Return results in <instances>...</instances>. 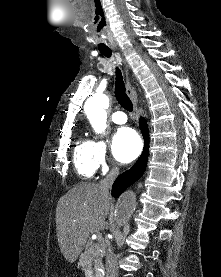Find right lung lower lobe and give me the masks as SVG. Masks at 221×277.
<instances>
[{
  "label": "right lung lower lobe",
  "mask_w": 221,
  "mask_h": 277,
  "mask_svg": "<svg viewBox=\"0 0 221 277\" xmlns=\"http://www.w3.org/2000/svg\"><path fill=\"white\" fill-rule=\"evenodd\" d=\"M140 127L145 140L143 152L133 167L118 176L113 183L112 196L115 198H118L125 189L136 182L143 175L146 169L149 151V131L147 123L142 117L140 119Z\"/></svg>",
  "instance_id": "obj_1"
}]
</instances>
